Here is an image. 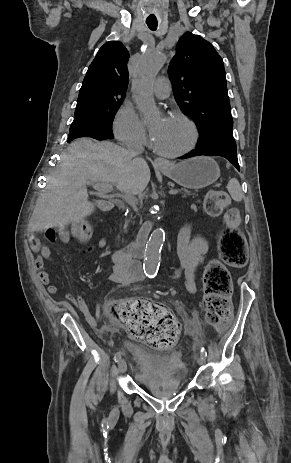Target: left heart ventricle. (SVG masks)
Wrapping results in <instances>:
<instances>
[{
    "mask_svg": "<svg viewBox=\"0 0 291 463\" xmlns=\"http://www.w3.org/2000/svg\"><path fill=\"white\" fill-rule=\"evenodd\" d=\"M190 133L185 124L171 118L168 126L154 142L155 146L165 152L176 151L189 141Z\"/></svg>",
    "mask_w": 291,
    "mask_h": 463,
    "instance_id": "b2bd125f",
    "label": "left heart ventricle"
}]
</instances>
